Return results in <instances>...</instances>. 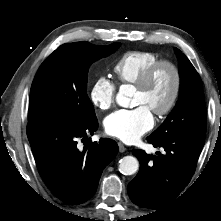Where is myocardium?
<instances>
[{
    "label": "myocardium",
    "instance_id": "1",
    "mask_svg": "<svg viewBox=\"0 0 221 221\" xmlns=\"http://www.w3.org/2000/svg\"><path fill=\"white\" fill-rule=\"evenodd\" d=\"M162 67H168L172 71L174 76V82L171 96L166 105L159 110L153 111L155 115L161 117L168 115L174 109L180 96L182 87V74L177 64L168 59H160L151 64L148 68H146V70L141 74V76L134 84L136 89L144 90L149 85L156 72Z\"/></svg>",
    "mask_w": 221,
    "mask_h": 221
}]
</instances>
